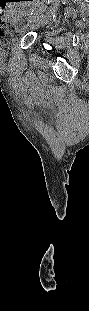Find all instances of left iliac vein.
<instances>
[{"instance_id": "left-iliac-vein-1", "label": "left iliac vein", "mask_w": 89, "mask_h": 311, "mask_svg": "<svg viewBox=\"0 0 89 311\" xmlns=\"http://www.w3.org/2000/svg\"><path fill=\"white\" fill-rule=\"evenodd\" d=\"M56 1H57V0H52V3H53V4H52V8H53V9L57 6Z\"/></svg>"}]
</instances>
